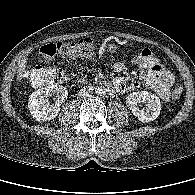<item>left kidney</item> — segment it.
<instances>
[{"instance_id": "obj_1", "label": "left kidney", "mask_w": 195, "mask_h": 195, "mask_svg": "<svg viewBox=\"0 0 195 195\" xmlns=\"http://www.w3.org/2000/svg\"><path fill=\"white\" fill-rule=\"evenodd\" d=\"M138 103H144L145 108L140 110ZM126 104L141 122L154 121L160 114L161 103L160 99L147 91L133 92L126 98Z\"/></svg>"}]
</instances>
